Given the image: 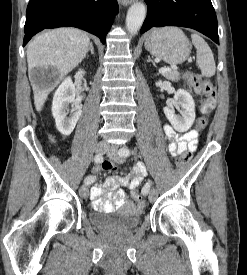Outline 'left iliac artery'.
Here are the masks:
<instances>
[{
    "mask_svg": "<svg viewBox=\"0 0 247 275\" xmlns=\"http://www.w3.org/2000/svg\"><path fill=\"white\" fill-rule=\"evenodd\" d=\"M119 155H120L121 157L126 158V157H128V156L130 155V150H129L128 148H121V149L119 150ZM150 186H151V181L149 180V181L144 185V187H143L142 190H144L146 193H148L149 190H150Z\"/></svg>",
    "mask_w": 247,
    "mask_h": 275,
    "instance_id": "44dca946",
    "label": "left iliac artery"
}]
</instances>
